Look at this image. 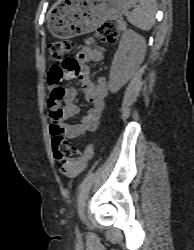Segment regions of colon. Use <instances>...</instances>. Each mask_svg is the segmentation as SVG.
I'll use <instances>...</instances> for the list:
<instances>
[{"label":"colon","instance_id":"1","mask_svg":"<svg viewBox=\"0 0 194 250\" xmlns=\"http://www.w3.org/2000/svg\"><path fill=\"white\" fill-rule=\"evenodd\" d=\"M95 36L99 41L113 44L119 39L120 31L114 23L107 22L98 26ZM72 47L73 44L69 40L54 41L48 45V56L51 60L64 59ZM62 80L63 76L61 74L54 70L50 71L48 82L53 87L50 94V101L56 102L58 105H60L64 94L61 87ZM52 135L54 157L60 165V171L67 173L69 171L68 164L80 157V151L77 147L70 145L62 134L53 133Z\"/></svg>","mask_w":194,"mask_h":250}]
</instances>
